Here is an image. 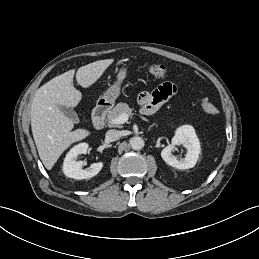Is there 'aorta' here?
Segmentation results:
<instances>
[{
	"instance_id": "1",
	"label": "aorta",
	"mask_w": 259,
	"mask_h": 259,
	"mask_svg": "<svg viewBox=\"0 0 259 259\" xmlns=\"http://www.w3.org/2000/svg\"><path fill=\"white\" fill-rule=\"evenodd\" d=\"M129 143L133 150H141L145 144L144 140L139 136L132 137Z\"/></svg>"
}]
</instances>
